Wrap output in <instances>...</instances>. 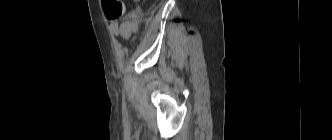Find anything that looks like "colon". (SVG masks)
Segmentation results:
<instances>
[{"label":"colon","instance_id":"obj_1","mask_svg":"<svg viewBox=\"0 0 332 140\" xmlns=\"http://www.w3.org/2000/svg\"><path fill=\"white\" fill-rule=\"evenodd\" d=\"M102 8L107 19L119 20L125 12V5L121 0H101Z\"/></svg>","mask_w":332,"mask_h":140}]
</instances>
